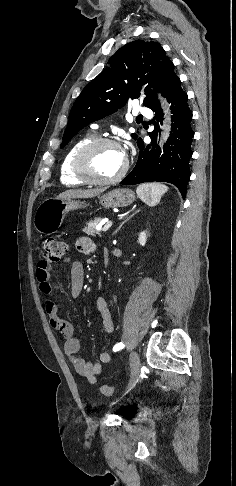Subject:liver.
Returning a JSON list of instances; mask_svg holds the SVG:
<instances>
[{"label":"liver","mask_w":236,"mask_h":486,"mask_svg":"<svg viewBox=\"0 0 236 486\" xmlns=\"http://www.w3.org/2000/svg\"><path fill=\"white\" fill-rule=\"evenodd\" d=\"M103 192V189H72L62 192L57 196L59 199H72V198H91L99 195Z\"/></svg>","instance_id":"liver-1"}]
</instances>
